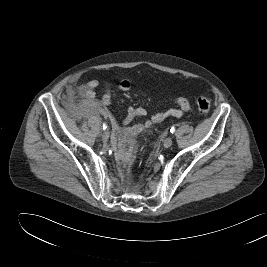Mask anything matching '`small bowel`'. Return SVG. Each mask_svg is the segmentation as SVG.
Wrapping results in <instances>:
<instances>
[{
	"label": "small bowel",
	"instance_id": "obj_1",
	"mask_svg": "<svg viewBox=\"0 0 267 267\" xmlns=\"http://www.w3.org/2000/svg\"><path fill=\"white\" fill-rule=\"evenodd\" d=\"M98 86L96 80H91L87 83L85 89V96L88 100H92L95 97V90ZM119 87L122 91H128L131 88V83L129 80H122L119 84ZM68 93H74V88L69 86L67 88ZM174 103L178 108H169L164 109L159 112L152 114L148 119L134 125H129L132 120L136 117H142L147 115V110L145 108H133L129 107L125 118L122 121L123 127H119L115 118L113 117L109 107L111 105V91L107 87L104 90V93L100 100V107L98 108L99 112L112 123L113 130L115 134L122 138H128L134 135L139 134L145 129H148L153 124L160 123L166 118L172 117H181L185 112H188L191 109V104L189 100L185 97H177L174 99Z\"/></svg>",
	"mask_w": 267,
	"mask_h": 267
}]
</instances>
